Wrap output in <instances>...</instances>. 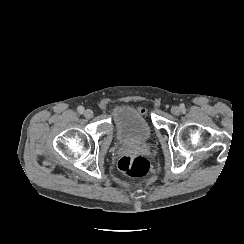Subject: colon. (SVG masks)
<instances>
[{
	"label": "colon",
	"instance_id": "colon-1",
	"mask_svg": "<svg viewBox=\"0 0 244 244\" xmlns=\"http://www.w3.org/2000/svg\"><path fill=\"white\" fill-rule=\"evenodd\" d=\"M150 167V161L141 155H125L119 161V168L123 173L136 177L145 176L149 172Z\"/></svg>",
	"mask_w": 244,
	"mask_h": 244
}]
</instances>
